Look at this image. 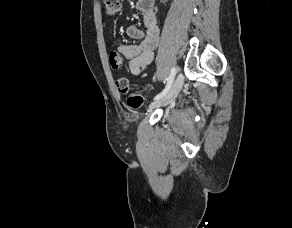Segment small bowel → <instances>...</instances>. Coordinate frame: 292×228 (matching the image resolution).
I'll use <instances>...</instances> for the list:
<instances>
[{
	"mask_svg": "<svg viewBox=\"0 0 292 228\" xmlns=\"http://www.w3.org/2000/svg\"><path fill=\"white\" fill-rule=\"evenodd\" d=\"M154 0H138L136 7L142 17L143 29L138 26H129L126 34L135 39H141L138 44L119 45L116 52L121 60L129 63V70L132 75H140L153 61L154 51L159 42L160 30L153 10Z\"/></svg>",
	"mask_w": 292,
	"mask_h": 228,
	"instance_id": "c3829d8e",
	"label": "small bowel"
}]
</instances>
